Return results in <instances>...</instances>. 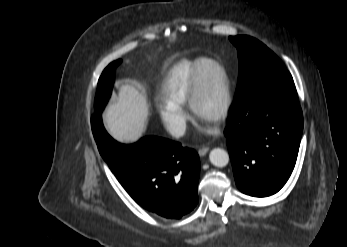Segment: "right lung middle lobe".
I'll return each mask as SVG.
<instances>
[{
	"mask_svg": "<svg viewBox=\"0 0 347 247\" xmlns=\"http://www.w3.org/2000/svg\"><path fill=\"white\" fill-rule=\"evenodd\" d=\"M121 63V60L110 63L103 71L99 78L98 88L95 99V109L101 114L110 95L114 83V72L116 67Z\"/></svg>",
	"mask_w": 347,
	"mask_h": 247,
	"instance_id": "1",
	"label": "right lung middle lobe"
}]
</instances>
